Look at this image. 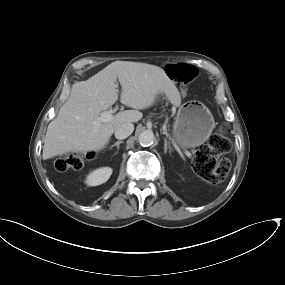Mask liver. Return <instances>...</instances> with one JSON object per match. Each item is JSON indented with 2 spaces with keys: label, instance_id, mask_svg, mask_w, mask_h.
<instances>
[{
  "label": "liver",
  "instance_id": "1",
  "mask_svg": "<svg viewBox=\"0 0 285 285\" xmlns=\"http://www.w3.org/2000/svg\"><path fill=\"white\" fill-rule=\"evenodd\" d=\"M117 79L122 87L120 102L135 110L119 112L110 122H99L100 113L118 100ZM159 94L180 106V93L165 71L141 62L115 61L88 80L76 82L68 100L47 127L43 159L100 151L118 125L139 121L143 117L139 110L152 106Z\"/></svg>",
  "mask_w": 285,
  "mask_h": 285
}]
</instances>
